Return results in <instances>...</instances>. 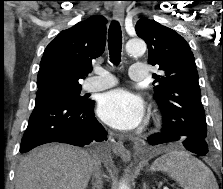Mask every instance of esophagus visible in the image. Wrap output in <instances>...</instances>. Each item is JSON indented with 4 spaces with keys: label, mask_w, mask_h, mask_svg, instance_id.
Returning <instances> with one entry per match:
<instances>
[{
    "label": "esophagus",
    "mask_w": 223,
    "mask_h": 189,
    "mask_svg": "<svg viewBox=\"0 0 223 189\" xmlns=\"http://www.w3.org/2000/svg\"><path fill=\"white\" fill-rule=\"evenodd\" d=\"M113 17L116 21H118L121 25L124 22V9L122 6L116 5L113 10ZM111 146L113 152L121 157L123 161H129L131 158L130 151H128L123 142L120 140L115 139L114 137L110 136Z\"/></svg>",
    "instance_id": "obj_1"
}]
</instances>
